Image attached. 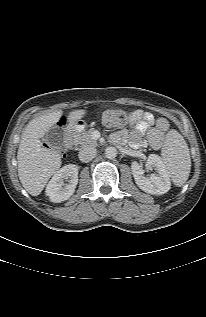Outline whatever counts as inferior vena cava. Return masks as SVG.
<instances>
[{"label": "inferior vena cava", "instance_id": "obj_1", "mask_svg": "<svg viewBox=\"0 0 206 317\" xmlns=\"http://www.w3.org/2000/svg\"><path fill=\"white\" fill-rule=\"evenodd\" d=\"M79 159L82 162H89L96 156V149L93 147H84L80 150Z\"/></svg>", "mask_w": 206, "mask_h": 317}]
</instances>
